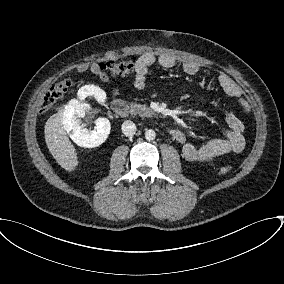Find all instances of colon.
<instances>
[{
	"instance_id": "obj_1",
	"label": "colon",
	"mask_w": 284,
	"mask_h": 284,
	"mask_svg": "<svg viewBox=\"0 0 284 284\" xmlns=\"http://www.w3.org/2000/svg\"><path fill=\"white\" fill-rule=\"evenodd\" d=\"M102 70L109 71L112 75L127 76L133 73L135 62L132 59H122L120 61H109L99 63ZM72 85V78L67 77L57 84L53 85L44 95L41 102L40 111L45 112L49 110L59 99L63 97L66 91ZM231 170L230 166H223L220 168L221 174H227Z\"/></svg>"
}]
</instances>
